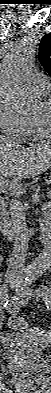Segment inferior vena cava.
I'll return each instance as SVG.
<instances>
[{
    "label": "inferior vena cava",
    "instance_id": "602c4592",
    "mask_svg": "<svg viewBox=\"0 0 51 393\" xmlns=\"http://www.w3.org/2000/svg\"><path fill=\"white\" fill-rule=\"evenodd\" d=\"M11 219L15 232L12 256L9 261L7 274H22L28 250V229L26 224V214L24 206L12 199L9 206Z\"/></svg>",
    "mask_w": 51,
    "mask_h": 393
}]
</instances>
